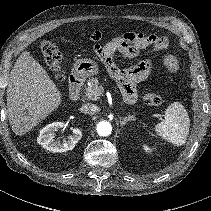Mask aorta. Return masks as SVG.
<instances>
[{
  "instance_id": "obj_1",
  "label": "aorta",
  "mask_w": 211,
  "mask_h": 211,
  "mask_svg": "<svg viewBox=\"0 0 211 211\" xmlns=\"http://www.w3.org/2000/svg\"><path fill=\"white\" fill-rule=\"evenodd\" d=\"M96 130L100 136H109L112 132V126L107 121H101L97 124Z\"/></svg>"
}]
</instances>
